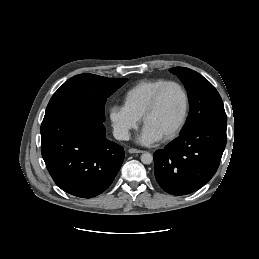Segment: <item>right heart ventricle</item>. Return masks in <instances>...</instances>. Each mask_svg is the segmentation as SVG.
<instances>
[{"label": "right heart ventricle", "mask_w": 259, "mask_h": 259, "mask_svg": "<svg viewBox=\"0 0 259 259\" xmlns=\"http://www.w3.org/2000/svg\"><path fill=\"white\" fill-rule=\"evenodd\" d=\"M168 80L145 79L132 85L123 95V106L137 118H142L157 89Z\"/></svg>", "instance_id": "right-heart-ventricle-1"}]
</instances>
